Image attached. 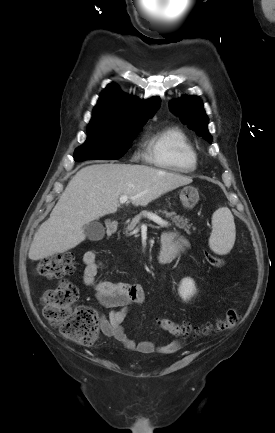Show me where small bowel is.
<instances>
[{
    "label": "small bowel",
    "mask_w": 275,
    "mask_h": 433,
    "mask_svg": "<svg viewBox=\"0 0 275 433\" xmlns=\"http://www.w3.org/2000/svg\"><path fill=\"white\" fill-rule=\"evenodd\" d=\"M162 248L166 250L165 256L168 262L176 255L184 253L189 248L187 239L176 232H164L161 237ZM161 248V249H162ZM84 270L83 283L94 290L98 303L106 308L121 307L120 310L111 311L107 316L100 317V325L104 335L113 337L121 342L129 350H137L142 353H171L180 349L182 342L172 341L166 345L156 346L153 341L136 342L126 335L124 319L132 304H142L145 299V291L141 284L116 281H96V275L101 268V262L95 250H88L83 254ZM166 262V263H168Z\"/></svg>",
    "instance_id": "obj_1"
}]
</instances>
